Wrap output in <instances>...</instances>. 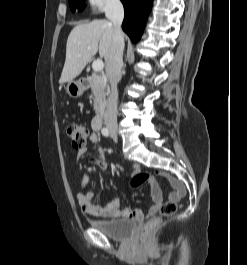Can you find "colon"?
<instances>
[{
    "mask_svg": "<svg viewBox=\"0 0 247 265\" xmlns=\"http://www.w3.org/2000/svg\"><path fill=\"white\" fill-rule=\"evenodd\" d=\"M66 134L70 138L72 145L76 149H82L86 146L89 131L85 125L70 122L66 125ZM148 183L152 186L156 183L155 176L146 173L139 172L131 180V186L134 188L140 187L143 184ZM177 211V202L175 200H168L164 202L160 208V214L157 217L149 220L145 226V231H151L157 228L162 218L173 216Z\"/></svg>",
    "mask_w": 247,
    "mask_h": 265,
    "instance_id": "obj_1",
    "label": "colon"
}]
</instances>
